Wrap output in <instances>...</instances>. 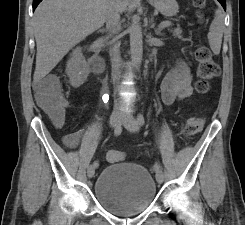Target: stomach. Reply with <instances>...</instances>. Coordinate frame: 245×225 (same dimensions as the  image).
<instances>
[{"label":"stomach","instance_id":"obj_1","mask_svg":"<svg viewBox=\"0 0 245 225\" xmlns=\"http://www.w3.org/2000/svg\"><path fill=\"white\" fill-rule=\"evenodd\" d=\"M162 15L172 17L178 12L179 6L176 0H147Z\"/></svg>","mask_w":245,"mask_h":225}]
</instances>
